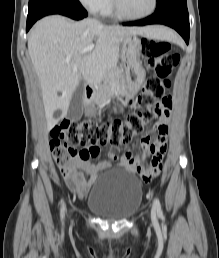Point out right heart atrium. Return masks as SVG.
Returning a JSON list of instances; mask_svg holds the SVG:
<instances>
[{"instance_id": "1", "label": "right heart atrium", "mask_w": 219, "mask_h": 258, "mask_svg": "<svg viewBox=\"0 0 219 258\" xmlns=\"http://www.w3.org/2000/svg\"><path fill=\"white\" fill-rule=\"evenodd\" d=\"M80 3L91 13H100L108 0H79Z\"/></svg>"}]
</instances>
